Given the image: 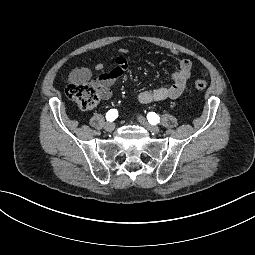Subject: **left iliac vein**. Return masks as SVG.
Listing matches in <instances>:
<instances>
[{
	"label": "left iliac vein",
	"instance_id": "obj_1",
	"mask_svg": "<svg viewBox=\"0 0 255 255\" xmlns=\"http://www.w3.org/2000/svg\"><path fill=\"white\" fill-rule=\"evenodd\" d=\"M138 121L140 122V124L147 129L148 131L152 132V133H159L160 129L158 126H154L151 125L144 117L139 116L138 117Z\"/></svg>",
	"mask_w": 255,
	"mask_h": 255
}]
</instances>
